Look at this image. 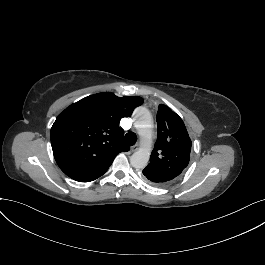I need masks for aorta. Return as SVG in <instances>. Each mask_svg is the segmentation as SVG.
<instances>
[{
  "instance_id": "762f6f07",
  "label": "aorta",
  "mask_w": 265,
  "mask_h": 265,
  "mask_svg": "<svg viewBox=\"0 0 265 265\" xmlns=\"http://www.w3.org/2000/svg\"><path fill=\"white\" fill-rule=\"evenodd\" d=\"M134 120L142 137V146L132 154L130 163L134 168L142 169L148 164L151 154L153 119L146 108L139 107L135 110Z\"/></svg>"
}]
</instances>
